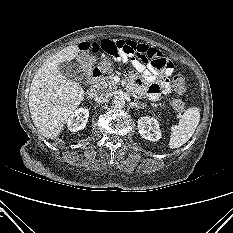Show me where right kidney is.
I'll list each match as a JSON object with an SVG mask.
<instances>
[{
    "instance_id": "obj_1",
    "label": "right kidney",
    "mask_w": 233,
    "mask_h": 233,
    "mask_svg": "<svg viewBox=\"0 0 233 233\" xmlns=\"http://www.w3.org/2000/svg\"><path fill=\"white\" fill-rule=\"evenodd\" d=\"M89 117V111L86 108H79L67 119L68 129L77 132L85 128Z\"/></svg>"
}]
</instances>
